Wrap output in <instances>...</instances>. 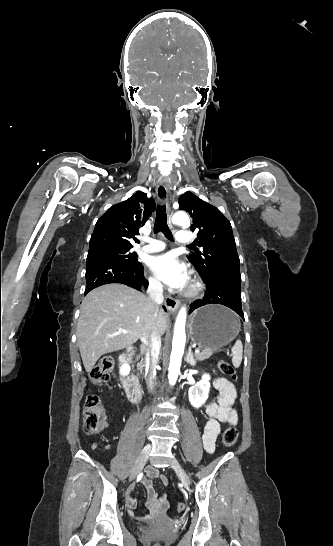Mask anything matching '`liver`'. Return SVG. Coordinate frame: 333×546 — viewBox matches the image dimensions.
<instances>
[{"label":"liver","instance_id":"1","mask_svg":"<svg viewBox=\"0 0 333 546\" xmlns=\"http://www.w3.org/2000/svg\"><path fill=\"white\" fill-rule=\"evenodd\" d=\"M155 305L144 294L119 283L98 287L87 294L80 307L77 341L87 372L104 354L124 349L154 329ZM166 329V315L157 311L156 332L161 337ZM131 333L124 334L121 331Z\"/></svg>","mask_w":333,"mask_h":546}]
</instances>
